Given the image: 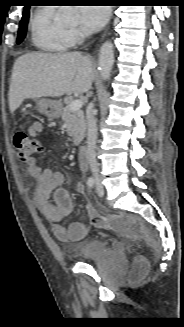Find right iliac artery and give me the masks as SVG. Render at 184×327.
<instances>
[{
	"label": "right iliac artery",
	"instance_id": "obj_1",
	"mask_svg": "<svg viewBox=\"0 0 184 327\" xmlns=\"http://www.w3.org/2000/svg\"><path fill=\"white\" fill-rule=\"evenodd\" d=\"M95 184V179L93 177H89L88 180H87V186L89 188H92Z\"/></svg>",
	"mask_w": 184,
	"mask_h": 327
}]
</instances>
